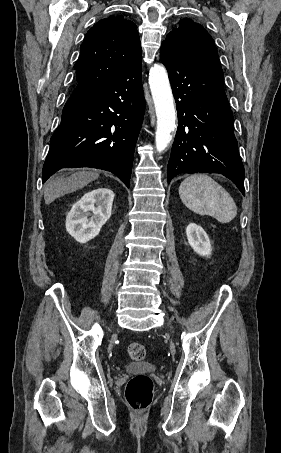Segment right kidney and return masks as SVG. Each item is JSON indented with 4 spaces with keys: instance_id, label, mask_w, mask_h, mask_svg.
<instances>
[{
    "instance_id": "right-kidney-1",
    "label": "right kidney",
    "mask_w": 281,
    "mask_h": 453,
    "mask_svg": "<svg viewBox=\"0 0 281 453\" xmlns=\"http://www.w3.org/2000/svg\"><path fill=\"white\" fill-rule=\"evenodd\" d=\"M113 198V190L104 186L85 192L66 216V231L69 235L78 243H87L97 237L102 224L111 216Z\"/></svg>"
}]
</instances>
